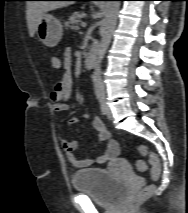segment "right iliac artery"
Listing matches in <instances>:
<instances>
[{
  "mask_svg": "<svg viewBox=\"0 0 188 213\" xmlns=\"http://www.w3.org/2000/svg\"><path fill=\"white\" fill-rule=\"evenodd\" d=\"M100 107H101V113L103 115L107 114V104L104 99H100Z\"/></svg>",
  "mask_w": 188,
  "mask_h": 213,
  "instance_id": "obj_1",
  "label": "right iliac artery"
}]
</instances>
